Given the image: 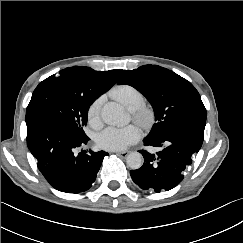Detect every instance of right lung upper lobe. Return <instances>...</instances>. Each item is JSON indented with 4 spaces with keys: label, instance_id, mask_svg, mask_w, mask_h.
I'll use <instances>...</instances> for the list:
<instances>
[{
    "label": "right lung upper lobe",
    "instance_id": "1",
    "mask_svg": "<svg viewBox=\"0 0 243 243\" xmlns=\"http://www.w3.org/2000/svg\"><path fill=\"white\" fill-rule=\"evenodd\" d=\"M123 70L95 71L89 67H69L60 71L72 90L97 99L110 89Z\"/></svg>",
    "mask_w": 243,
    "mask_h": 243
}]
</instances>
